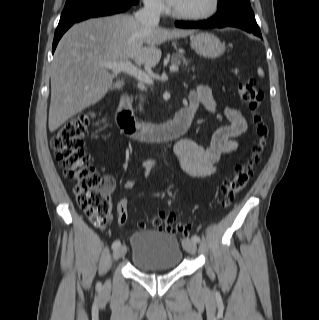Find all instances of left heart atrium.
I'll list each match as a JSON object with an SVG mask.
<instances>
[{
	"label": "left heart atrium",
	"mask_w": 319,
	"mask_h": 320,
	"mask_svg": "<svg viewBox=\"0 0 319 320\" xmlns=\"http://www.w3.org/2000/svg\"><path fill=\"white\" fill-rule=\"evenodd\" d=\"M180 0H167L168 4L172 7H176Z\"/></svg>",
	"instance_id": "left-heart-atrium-1"
}]
</instances>
